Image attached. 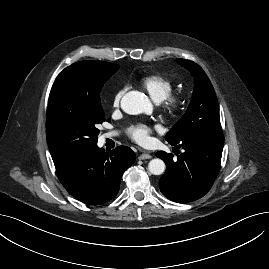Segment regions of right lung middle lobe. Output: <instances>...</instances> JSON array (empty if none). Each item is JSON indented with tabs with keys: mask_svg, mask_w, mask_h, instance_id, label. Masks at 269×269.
<instances>
[{
	"mask_svg": "<svg viewBox=\"0 0 269 269\" xmlns=\"http://www.w3.org/2000/svg\"><path fill=\"white\" fill-rule=\"evenodd\" d=\"M119 65L86 60L65 68L48 101L46 137L53 161L97 144L105 121L100 91Z\"/></svg>",
	"mask_w": 269,
	"mask_h": 269,
	"instance_id": "right-lung-middle-lobe-1",
	"label": "right lung middle lobe"
}]
</instances>
